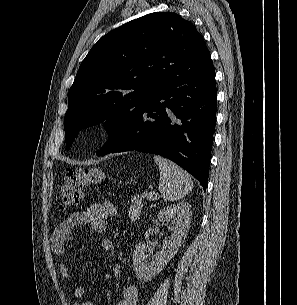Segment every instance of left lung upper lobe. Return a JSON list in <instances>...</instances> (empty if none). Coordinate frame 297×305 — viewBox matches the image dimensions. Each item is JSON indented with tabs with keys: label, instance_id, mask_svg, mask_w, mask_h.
Listing matches in <instances>:
<instances>
[{
	"label": "left lung upper lobe",
	"instance_id": "left-lung-upper-lobe-1",
	"mask_svg": "<svg viewBox=\"0 0 297 305\" xmlns=\"http://www.w3.org/2000/svg\"><path fill=\"white\" fill-rule=\"evenodd\" d=\"M212 64L204 39L176 13L155 12L104 35L82 61L69 90L66 148L79 130L105 121L111 136L98 155L123 139L166 82Z\"/></svg>",
	"mask_w": 297,
	"mask_h": 305
}]
</instances>
